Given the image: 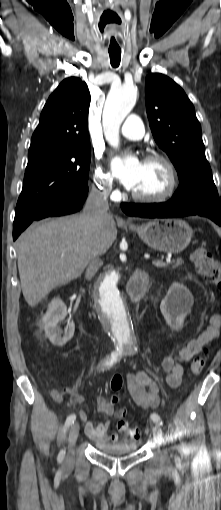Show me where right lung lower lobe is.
Here are the masks:
<instances>
[{
	"instance_id": "98d812e1",
	"label": "right lung lower lobe",
	"mask_w": 221,
	"mask_h": 510,
	"mask_svg": "<svg viewBox=\"0 0 221 510\" xmlns=\"http://www.w3.org/2000/svg\"><path fill=\"white\" fill-rule=\"evenodd\" d=\"M88 187H85L76 193L68 195L59 201L47 206L38 213L27 218H22L15 214L13 223V240L21 234L23 230L34 220H40L46 217L67 215L79 211L87 198Z\"/></svg>"
}]
</instances>
